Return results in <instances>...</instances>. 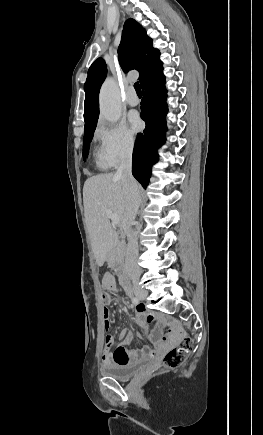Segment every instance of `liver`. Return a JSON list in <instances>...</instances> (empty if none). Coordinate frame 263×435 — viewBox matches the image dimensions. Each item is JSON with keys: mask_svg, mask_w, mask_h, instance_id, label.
<instances>
[{"mask_svg": "<svg viewBox=\"0 0 263 435\" xmlns=\"http://www.w3.org/2000/svg\"><path fill=\"white\" fill-rule=\"evenodd\" d=\"M83 203L94 257L102 266L118 241L106 211L118 215L124 227L129 224L122 179L112 173L88 178L83 187Z\"/></svg>", "mask_w": 263, "mask_h": 435, "instance_id": "liver-1", "label": "liver"}]
</instances>
